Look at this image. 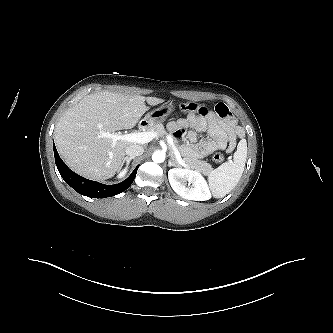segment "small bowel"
<instances>
[{"mask_svg": "<svg viewBox=\"0 0 333 333\" xmlns=\"http://www.w3.org/2000/svg\"><path fill=\"white\" fill-rule=\"evenodd\" d=\"M169 130L184 141L182 150L193 157L204 158L214 151L231 152L237 139L244 135L228 106L218 103L213 110L203 108L198 113H190L185 118L169 122ZM190 130L186 132V129ZM207 132V138L198 140V134Z\"/></svg>", "mask_w": 333, "mask_h": 333, "instance_id": "obj_1", "label": "small bowel"}]
</instances>
